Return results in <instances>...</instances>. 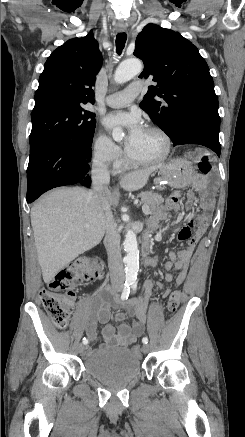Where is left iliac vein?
Returning a JSON list of instances; mask_svg holds the SVG:
<instances>
[{
	"instance_id": "left-iliac-vein-1",
	"label": "left iliac vein",
	"mask_w": 245,
	"mask_h": 437,
	"mask_svg": "<svg viewBox=\"0 0 245 437\" xmlns=\"http://www.w3.org/2000/svg\"><path fill=\"white\" fill-rule=\"evenodd\" d=\"M142 349L144 353H147L149 351V346L147 344H144Z\"/></svg>"
}]
</instances>
